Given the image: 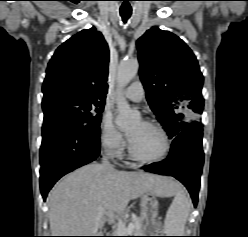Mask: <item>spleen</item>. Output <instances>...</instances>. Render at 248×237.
<instances>
[{"label": "spleen", "instance_id": "3e777b00", "mask_svg": "<svg viewBox=\"0 0 248 237\" xmlns=\"http://www.w3.org/2000/svg\"><path fill=\"white\" fill-rule=\"evenodd\" d=\"M189 211L190 202L188 198L183 191H176L164 222V230L167 236H183Z\"/></svg>", "mask_w": 248, "mask_h": 237}]
</instances>
